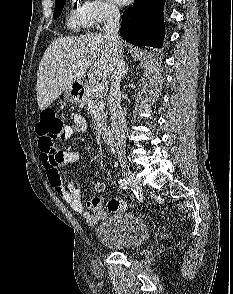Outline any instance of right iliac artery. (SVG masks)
<instances>
[{"instance_id": "obj_1", "label": "right iliac artery", "mask_w": 233, "mask_h": 294, "mask_svg": "<svg viewBox=\"0 0 233 294\" xmlns=\"http://www.w3.org/2000/svg\"><path fill=\"white\" fill-rule=\"evenodd\" d=\"M119 186L124 189L127 190L128 189V182L125 179H119Z\"/></svg>"}]
</instances>
